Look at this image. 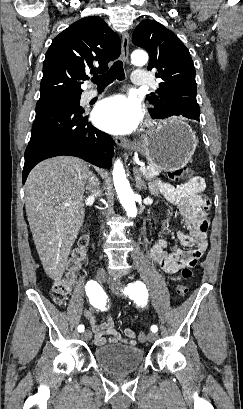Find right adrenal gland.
<instances>
[{
	"label": "right adrenal gland",
	"mask_w": 243,
	"mask_h": 409,
	"mask_svg": "<svg viewBox=\"0 0 243 409\" xmlns=\"http://www.w3.org/2000/svg\"><path fill=\"white\" fill-rule=\"evenodd\" d=\"M99 185L98 179L93 173H90L89 182L86 186V190L89 192H94L95 188Z\"/></svg>",
	"instance_id": "right-adrenal-gland-1"
}]
</instances>
